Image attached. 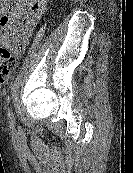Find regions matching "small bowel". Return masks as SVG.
I'll return each mask as SVG.
<instances>
[{
    "label": "small bowel",
    "mask_w": 133,
    "mask_h": 173,
    "mask_svg": "<svg viewBox=\"0 0 133 173\" xmlns=\"http://www.w3.org/2000/svg\"><path fill=\"white\" fill-rule=\"evenodd\" d=\"M13 1L0 0V46H12L21 55L48 0H19L11 5Z\"/></svg>",
    "instance_id": "1"
}]
</instances>
